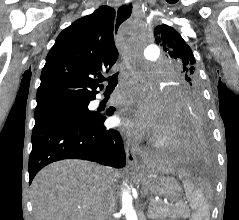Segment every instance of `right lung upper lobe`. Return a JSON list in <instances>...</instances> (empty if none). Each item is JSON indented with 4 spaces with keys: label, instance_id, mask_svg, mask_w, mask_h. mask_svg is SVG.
Wrapping results in <instances>:
<instances>
[{
    "label": "right lung upper lobe",
    "instance_id": "1",
    "mask_svg": "<svg viewBox=\"0 0 239 220\" xmlns=\"http://www.w3.org/2000/svg\"><path fill=\"white\" fill-rule=\"evenodd\" d=\"M114 19V9L101 6L58 35L41 73L36 108L95 99L93 77L108 72L118 58Z\"/></svg>",
    "mask_w": 239,
    "mask_h": 220
}]
</instances>
